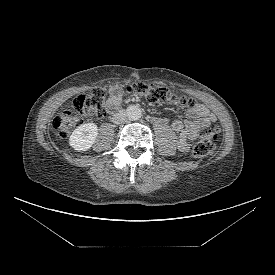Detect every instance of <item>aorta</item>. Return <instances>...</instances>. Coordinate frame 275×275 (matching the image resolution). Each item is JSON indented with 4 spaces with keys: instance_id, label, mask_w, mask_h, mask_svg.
Masks as SVG:
<instances>
[{
    "instance_id": "762f6f07",
    "label": "aorta",
    "mask_w": 275,
    "mask_h": 275,
    "mask_svg": "<svg viewBox=\"0 0 275 275\" xmlns=\"http://www.w3.org/2000/svg\"><path fill=\"white\" fill-rule=\"evenodd\" d=\"M126 114L130 120H139L142 116V110L137 105H130L126 109Z\"/></svg>"
}]
</instances>
